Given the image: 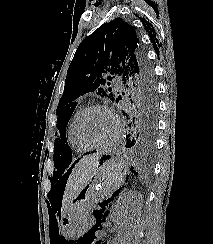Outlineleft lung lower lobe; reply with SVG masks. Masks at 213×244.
<instances>
[{
  "instance_id": "obj_1",
  "label": "left lung lower lobe",
  "mask_w": 213,
  "mask_h": 244,
  "mask_svg": "<svg viewBox=\"0 0 213 244\" xmlns=\"http://www.w3.org/2000/svg\"><path fill=\"white\" fill-rule=\"evenodd\" d=\"M129 122L125 137V147L140 157H149L155 151V135L157 118L151 116H135L124 112Z\"/></svg>"
}]
</instances>
